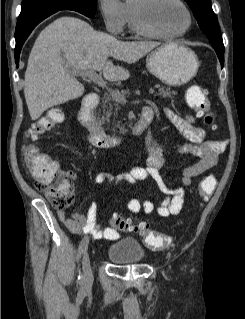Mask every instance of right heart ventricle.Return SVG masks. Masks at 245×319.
<instances>
[{
	"label": "right heart ventricle",
	"mask_w": 245,
	"mask_h": 319,
	"mask_svg": "<svg viewBox=\"0 0 245 319\" xmlns=\"http://www.w3.org/2000/svg\"><path fill=\"white\" fill-rule=\"evenodd\" d=\"M133 0L128 1L125 3V15H126V24L130 31L134 33H138V31L135 28L134 22H133V17H132V10H131V5H132Z\"/></svg>",
	"instance_id": "e07e8e85"
}]
</instances>
